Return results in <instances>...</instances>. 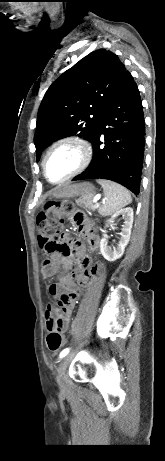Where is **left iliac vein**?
<instances>
[{"instance_id":"4c4485c4","label":"left iliac vein","mask_w":165,"mask_h":461,"mask_svg":"<svg viewBox=\"0 0 165 461\" xmlns=\"http://www.w3.org/2000/svg\"><path fill=\"white\" fill-rule=\"evenodd\" d=\"M73 356L74 354L72 353L66 355L59 364L57 382L63 390L66 388V369L69 366Z\"/></svg>"}]
</instances>
